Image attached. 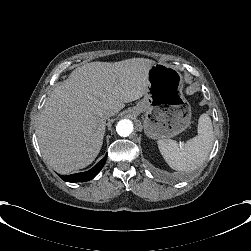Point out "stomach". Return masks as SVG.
I'll return each instance as SVG.
<instances>
[{"label":"stomach","mask_w":251,"mask_h":251,"mask_svg":"<svg viewBox=\"0 0 251 251\" xmlns=\"http://www.w3.org/2000/svg\"><path fill=\"white\" fill-rule=\"evenodd\" d=\"M148 92L131 110L144 112L143 127L151 139H169L188 128L191 106L182 93L183 77L174 68L154 64L148 71Z\"/></svg>","instance_id":"obj_1"}]
</instances>
